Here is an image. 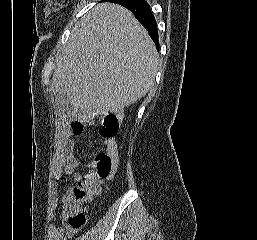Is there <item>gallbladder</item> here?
Segmentation results:
<instances>
[{
  "mask_svg": "<svg viewBox=\"0 0 257 240\" xmlns=\"http://www.w3.org/2000/svg\"><path fill=\"white\" fill-rule=\"evenodd\" d=\"M55 110L61 116H67L70 113L71 105L67 102V99L62 95L55 96Z\"/></svg>",
  "mask_w": 257,
  "mask_h": 240,
  "instance_id": "gallbladder-1",
  "label": "gallbladder"
}]
</instances>
